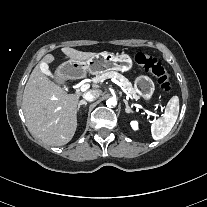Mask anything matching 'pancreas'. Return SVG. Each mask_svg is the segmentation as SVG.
<instances>
[{"instance_id": "cf45deb5", "label": "pancreas", "mask_w": 207, "mask_h": 207, "mask_svg": "<svg viewBox=\"0 0 207 207\" xmlns=\"http://www.w3.org/2000/svg\"><path fill=\"white\" fill-rule=\"evenodd\" d=\"M122 82L128 86H130V82L127 79H123Z\"/></svg>"}]
</instances>
